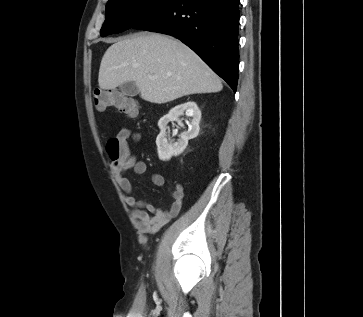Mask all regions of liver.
Segmentation results:
<instances>
[{
    "label": "liver",
    "mask_w": 363,
    "mask_h": 317,
    "mask_svg": "<svg viewBox=\"0 0 363 317\" xmlns=\"http://www.w3.org/2000/svg\"><path fill=\"white\" fill-rule=\"evenodd\" d=\"M128 81L136 84L142 99L157 104L223 88L219 77L194 51L159 33L131 35L105 52L99 69V87L114 89Z\"/></svg>",
    "instance_id": "obj_1"
}]
</instances>
